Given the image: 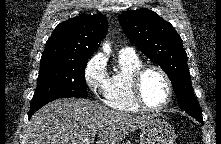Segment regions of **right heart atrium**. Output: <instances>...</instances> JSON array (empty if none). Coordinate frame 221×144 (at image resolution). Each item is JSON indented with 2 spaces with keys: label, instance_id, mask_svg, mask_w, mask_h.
Returning <instances> with one entry per match:
<instances>
[{
  "label": "right heart atrium",
  "instance_id": "1",
  "mask_svg": "<svg viewBox=\"0 0 221 144\" xmlns=\"http://www.w3.org/2000/svg\"><path fill=\"white\" fill-rule=\"evenodd\" d=\"M84 79L87 87L99 99L105 100L109 92L110 77L104 58L94 55L86 64Z\"/></svg>",
  "mask_w": 221,
  "mask_h": 144
}]
</instances>
